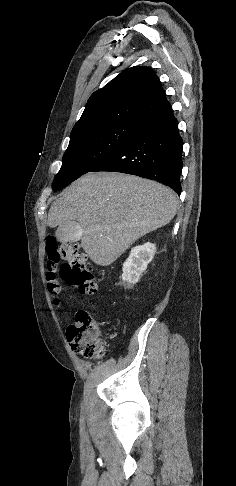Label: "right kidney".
<instances>
[{"label":"right kidney","mask_w":236,"mask_h":486,"mask_svg":"<svg viewBox=\"0 0 236 486\" xmlns=\"http://www.w3.org/2000/svg\"><path fill=\"white\" fill-rule=\"evenodd\" d=\"M155 252L156 246L150 242L132 248L123 264L122 281L128 285H135L152 261Z\"/></svg>","instance_id":"obj_1"}]
</instances>
